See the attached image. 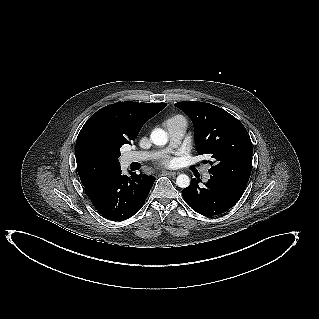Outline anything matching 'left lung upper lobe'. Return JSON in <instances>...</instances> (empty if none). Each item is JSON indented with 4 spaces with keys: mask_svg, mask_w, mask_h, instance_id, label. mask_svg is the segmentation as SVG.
Instances as JSON below:
<instances>
[{
    "mask_svg": "<svg viewBox=\"0 0 319 319\" xmlns=\"http://www.w3.org/2000/svg\"><path fill=\"white\" fill-rule=\"evenodd\" d=\"M195 128L196 150L208 154L212 175L221 176L243 187L252 169V143L242 123L225 110L204 102H178Z\"/></svg>",
    "mask_w": 319,
    "mask_h": 319,
    "instance_id": "1",
    "label": "left lung upper lobe"
}]
</instances>
